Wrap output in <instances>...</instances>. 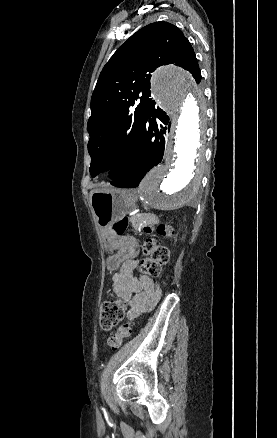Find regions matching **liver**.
Masks as SVG:
<instances>
[{"label":"liver","mask_w":277,"mask_h":438,"mask_svg":"<svg viewBox=\"0 0 277 438\" xmlns=\"http://www.w3.org/2000/svg\"><path fill=\"white\" fill-rule=\"evenodd\" d=\"M93 192H95V190H93ZM93 192H91V194H93Z\"/></svg>","instance_id":"obj_1"}]
</instances>
